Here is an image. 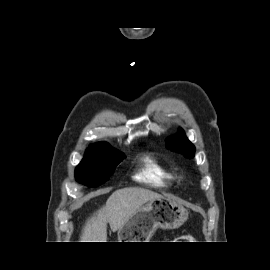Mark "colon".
I'll return each mask as SVG.
<instances>
[{
  "mask_svg": "<svg viewBox=\"0 0 270 270\" xmlns=\"http://www.w3.org/2000/svg\"><path fill=\"white\" fill-rule=\"evenodd\" d=\"M188 237L187 236H181L179 237V239H187Z\"/></svg>",
  "mask_w": 270,
  "mask_h": 270,
  "instance_id": "colon-1",
  "label": "colon"
}]
</instances>
